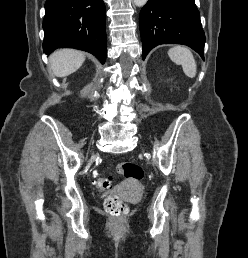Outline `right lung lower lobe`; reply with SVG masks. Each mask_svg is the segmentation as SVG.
<instances>
[{
	"label": "right lung lower lobe",
	"mask_w": 248,
	"mask_h": 258,
	"mask_svg": "<svg viewBox=\"0 0 248 258\" xmlns=\"http://www.w3.org/2000/svg\"><path fill=\"white\" fill-rule=\"evenodd\" d=\"M106 9L103 0H47L43 50L70 47L106 60Z\"/></svg>",
	"instance_id": "1"
}]
</instances>
